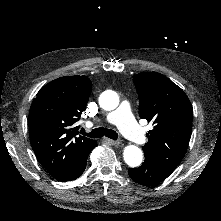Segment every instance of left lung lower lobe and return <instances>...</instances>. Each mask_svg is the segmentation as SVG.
<instances>
[{
  "instance_id": "1",
  "label": "left lung lower lobe",
  "mask_w": 221,
  "mask_h": 221,
  "mask_svg": "<svg viewBox=\"0 0 221 221\" xmlns=\"http://www.w3.org/2000/svg\"><path fill=\"white\" fill-rule=\"evenodd\" d=\"M172 172L159 166L152 158L145 155L144 163L138 168L128 170L129 176L144 186H153L166 179Z\"/></svg>"
}]
</instances>
